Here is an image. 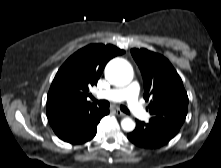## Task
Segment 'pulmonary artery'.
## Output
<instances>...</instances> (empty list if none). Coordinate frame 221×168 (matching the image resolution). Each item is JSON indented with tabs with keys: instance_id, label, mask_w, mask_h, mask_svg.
Listing matches in <instances>:
<instances>
[{
	"instance_id": "1",
	"label": "pulmonary artery",
	"mask_w": 221,
	"mask_h": 168,
	"mask_svg": "<svg viewBox=\"0 0 221 168\" xmlns=\"http://www.w3.org/2000/svg\"><path fill=\"white\" fill-rule=\"evenodd\" d=\"M139 84L132 82L130 85L123 88H115L108 91L99 93V97L110 101H123L127 102L130 112L141 120H147L149 114L145 111L143 106L138 101Z\"/></svg>"
}]
</instances>
